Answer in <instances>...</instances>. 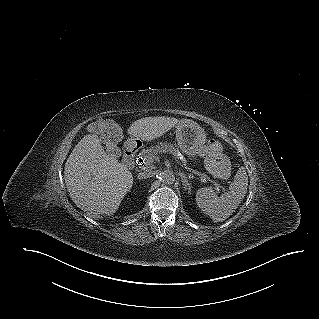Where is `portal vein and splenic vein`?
Here are the masks:
<instances>
[{"label":"portal vein and splenic vein","mask_w":319,"mask_h":319,"mask_svg":"<svg viewBox=\"0 0 319 319\" xmlns=\"http://www.w3.org/2000/svg\"><path fill=\"white\" fill-rule=\"evenodd\" d=\"M172 158H174V157H172ZM174 159L176 160V158H174ZM176 161H177V160H176ZM152 162H153V159L150 158V159L148 160V163H152ZM177 162H178V164H180L182 167H184L186 170H188V171L191 172V169H190V168H188V167L182 165L179 161H177ZM192 172H193L194 174L199 175V176H200V180H201L202 182H207V179L210 180V178H207L206 175H200L199 173H197V172H195V171H192ZM214 185H215V187H216L217 192H220V186H219V184L214 183Z\"/></svg>","instance_id":"1"}]
</instances>
